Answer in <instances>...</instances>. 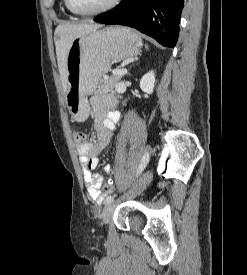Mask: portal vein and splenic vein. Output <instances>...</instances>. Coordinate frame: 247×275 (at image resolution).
I'll return each instance as SVG.
<instances>
[{
    "instance_id": "obj_1",
    "label": "portal vein and splenic vein",
    "mask_w": 247,
    "mask_h": 275,
    "mask_svg": "<svg viewBox=\"0 0 247 275\" xmlns=\"http://www.w3.org/2000/svg\"><path fill=\"white\" fill-rule=\"evenodd\" d=\"M127 71L125 69H116L112 71L113 75H117V76H122L126 73Z\"/></svg>"
}]
</instances>
